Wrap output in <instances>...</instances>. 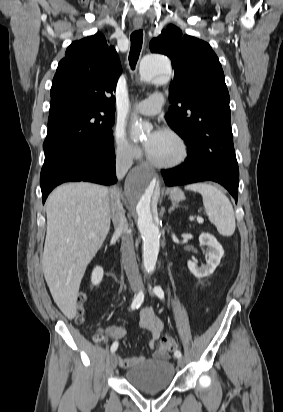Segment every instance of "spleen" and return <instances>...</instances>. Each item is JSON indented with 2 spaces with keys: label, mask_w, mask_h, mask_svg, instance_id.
<instances>
[{
  "label": "spleen",
  "mask_w": 283,
  "mask_h": 412,
  "mask_svg": "<svg viewBox=\"0 0 283 412\" xmlns=\"http://www.w3.org/2000/svg\"><path fill=\"white\" fill-rule=\"evenodd\" d=\"M186 190L199 192L209 220L223 236H231L235 231V216L229 199L215 186L208 183L187 185Z\"/></svg>",
  "instance_id": "spleen-1"
}]
</instances>
